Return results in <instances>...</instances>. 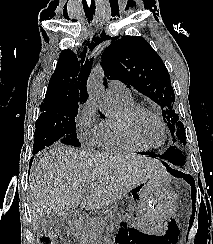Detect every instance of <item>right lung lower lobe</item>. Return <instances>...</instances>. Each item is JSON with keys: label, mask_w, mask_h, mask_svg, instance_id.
<instances>
[{"label": "right lung lower lobe", "mask_w": 213, "mask_h": 244, "mask_svg": "<svg viewBox=\"0 0 213 244\" xmlns=\"http://www.w3.org/2000/svg\"><path fill=\"white\" fill-rule=\"evenodd\" d=\"M37 152H39V151H37ZM37 152L33 151V154H36Z\"/></svg>", "instance_id": "right-lung-lower-lobe-1"}]
</instances>
